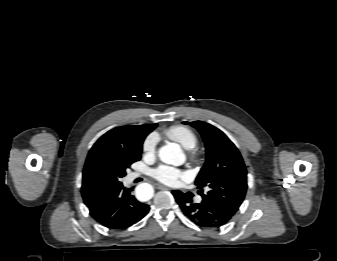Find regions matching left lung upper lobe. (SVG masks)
Wrapping results in <instances>:
<instances>
[{"label":"left lung upper lobe","mask_w":337,"mask_h":261,"mask_svg":"<svg viewBox=\"0 0 337 261\" xmlns=\"http://www.w3.org/2000/svg\"><path fill=\"white\" fill-rule=\"evenodd\" d=\"M196 128L205 143L206 162L196 178L203 200L233 216L247 190V171L243 159L229 138L218 128L203 122H184ZM203 187L208 188L206 194Z\"/></svg>","instance_id":"obj_1"}]
</instances>
